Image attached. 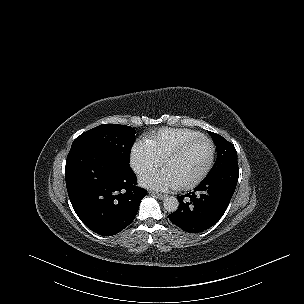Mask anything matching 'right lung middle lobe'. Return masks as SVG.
<instances>
[{"instance_id": "dd1d6c3e", "label": "right lung middle lobe", "mask_w": 304, "mask_h": 304, "mask_svg": "<svg viewBox=\"0 0 304 304\" xmlns=\"http://www.w3.org/2000/svg\"><path fill=\"white\" fill-rule=\"evenodd\" d=\"M136 131L126 125L103 124L82 133L72 143V148L90 146L109 151L117 167H130V151Z\"/></svg>"}]
</instances>
